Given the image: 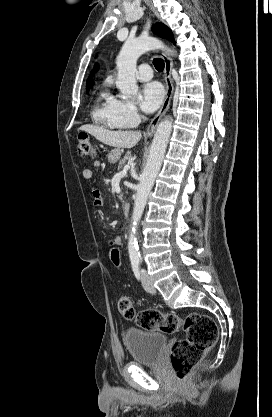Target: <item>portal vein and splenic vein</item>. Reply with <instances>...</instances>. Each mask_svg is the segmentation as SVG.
I'll return each mask as SVG.
<instances>
[{"label": "portal vein and splenic vein", "instance_id": "obj_1", "mask_svg": "<svg viewBox=\"0 0 272 417\" xmlns=\"http://www.w3.org/2000/svg\"><path fill=\"white\" fill-rule=\"evenodd\" d=\"M130 165H125L123 170L119 172V175H125L127 171L129 170Z\"/></svg>", "mask_w": 272, "mask_h": 417}]
</instances>
